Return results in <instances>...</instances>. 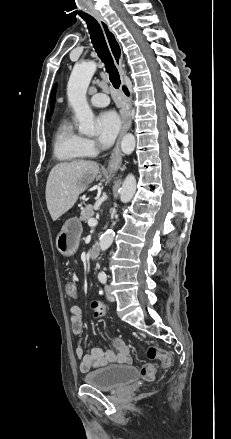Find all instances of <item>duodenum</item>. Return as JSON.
<instances>
[{
  "instance_id": "410a0bca",
  "label": "duodenum",
  "mask_w": 231,
  "mask_h": 439,
  "mask_svg": "<svg viewBox=\"0 0 231 439\" xmlns=\"http://www.w3.org/2000/svg\"><path fill=\"white\" fill-rule=\"evenodd\" d=\"M99 254V246L97 244H93L89 249V258L96 259Z\"/></svg>"
}]
</instances>
